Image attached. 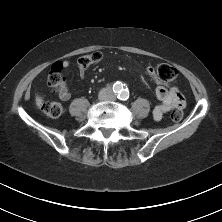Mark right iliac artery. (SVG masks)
I'll return each mask as SVG.
<instances>
[{"label": "right iliac artery", "instance_id": "obj_1", "mask_svg": "<svg viewBox=\"0 0 222 222\" xmlns=\"http://www.w3.org/2000/svg\"><path fill=\"white\" fill-rule=\"evenodd\" d=\"M121 88L120 87H118L117 88V91H118V93H120L122 90H120Z\"/></svg>", "mask_w": 222, "mask_h": 222}]
</instances>
